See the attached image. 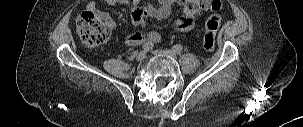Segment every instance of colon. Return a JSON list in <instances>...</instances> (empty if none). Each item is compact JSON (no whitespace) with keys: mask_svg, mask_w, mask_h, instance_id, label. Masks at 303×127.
<instances>
[{"mask_svg":"<svg viewBox=\"0 0 303 127\" xmlns=\"http://www.w3.org/2000/svg\"><path fill=\"white\" fill-rule=\"evenodd\" d=\"M219 10H211L213 13L205 23L203 47L208 52L215 49V38L221 23ZM77 29L81 40L89 47H95L104 43L109 36L107 24L91 10L84 11L78 16Z\"/></svg>","mask_w":303,"mask_h":127,"instance_id":"1","label":"colon"}]
</instances>
